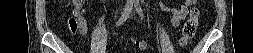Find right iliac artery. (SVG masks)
Returning <instances> with one entry per match:
<instances>
[{
  "instance_id": "obj_1",
  "label": "right iliac artery",
  "mask_w": 253,
  "mask_h": 53,
  "mask_svg": "<svg viewBox=\"0 0 253 53\" xmlns=\"http://www.w3.org/2000/svg\"><path fill=\"white\" fill-rule=\"evenodd\" d=\"M132 7H133L132 3H131V2L128 3V7L126 8V11H125V13L120 17V19L117 21L116 27L122 25V24L127 20V18L129 17V15H130V13H131V11H132Z\"/></svg>"
}]
</instances>
